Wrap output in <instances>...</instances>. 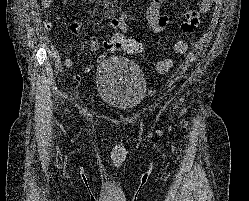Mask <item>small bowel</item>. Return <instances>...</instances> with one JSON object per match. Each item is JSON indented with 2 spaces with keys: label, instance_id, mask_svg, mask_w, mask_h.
Instances as JSON below:
<instances>
[{
  "label": "small bowel",
  "instance_id": "small-bowel-1",
  "mask_svg": "<svg viewBox=\"0 0 249 201\" xmlns=\"http://www.w3.org/2000/svg\"><path fill=\"white\" fill-rule=\"evenodd\" d=\"M55 0H43V3L46 5H50ZM215 0H200L199 6L195 10H188L182 14V22L179 26L180 30L184 33H189L193 31L200 23L201 17L203 14L207 13L212 5L214 4ZM164 0H153V2L148 7L145 16L144 21L148 24V26L151 28L154 32H160L164 30L171 22L170 15L168 13L162 12V6H163ZM136 19L134 16L123 13L119 17H113L109 20L108 26L109 28L116 31L115 35H118L119 37H125V34L128 31V21ZM43 27L47 31H51L54 27L53 23L51 22H44ZM81 25L79 22H73L70 25V30L72 34L78 35L80 31ZM99 48V41L96 36H93L90 41L89 50L90 51H96ZM105 59V55L101 54L97 58V62H101ZM74 64V61L72 58H66L64 59V66L67 68L72 67ZM94 70L93 64H88L85 67L86 73H91ZM75 78H80V75L78 73L74 74Z\"/></svg>",
  "mask_w": 249,
  "mask_h": 201
}]
</instances>
